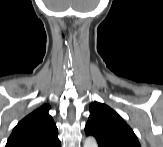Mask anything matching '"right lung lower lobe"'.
I'll use <instances>...</instances> for the list:
<instances>
[{
	"instance_id": "1",
	"label": "right lung lower lobe",
	"mask_w": 163,
	"mask_h": 147,
	"mask_svg": "<svg viewBox=\"0 0 163 147\" xmlns=\"http://www.w3.org/2000/svg\"><path fill=\"white\" fill-rule=\"evenodd\" d=\"M41 147H61V142L58 140L55 143H52V144L46 145V146H41Z\"/></svg>"
}]
</instances>
